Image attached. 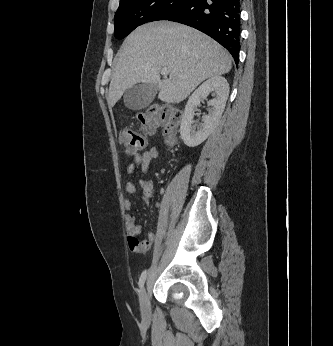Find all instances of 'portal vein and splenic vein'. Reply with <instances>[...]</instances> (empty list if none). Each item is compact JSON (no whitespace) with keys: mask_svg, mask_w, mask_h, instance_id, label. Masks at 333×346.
<instances>
[{"mask_svg":"<svg viewBox=\"0 0 333 346\" xmlns=\"http://www.w3.org/2000/svg\"><path fill=\"white\" fill-rule=\"evenodd\" d=\"M161 74L164 75V76H167L169 74V69L168 68H162L161 69Z\"/></svg>","mask_w":333,"mask_h":346,"instance_id":"portal-vein-and-splenic-vein-1","label":"portal vein and splenic vein"}]
</instances>
